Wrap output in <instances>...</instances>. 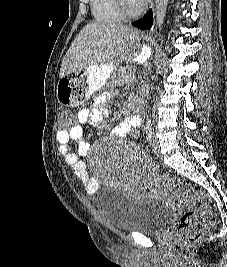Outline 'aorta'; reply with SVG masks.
<instances>
[{
  "label": "aorta",
  "mask_w": 227,
  "mask_h": 267,
  "mask_svg": "<svg viewBox=\"0 0 227 267\" xmlns=\"http://www.w3.org/2000/svg\"><path fill=\"white\" fill-rule=\"evenodd\" d=\"M168 1L169 0H155L154 19H155L156 27L159 31H161L163 29L166 11H167V6H168ZM146 119H147V124L149 125L150 119H149L148 115H147Z\"/></svg>",
  "instance_id": "obj_1"
}]
</instances>
